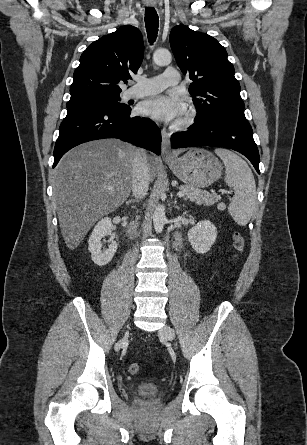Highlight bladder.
<instances>
[{
	"label": "bladder",
	"instance_id": "obj_1",
	"mask_svg": "<svg viewBox=\"0 0 307 445\" xmlns=\"http://www.w3.org/2000/svg\"><path fill=\"white\" fill-rule=\"evenodd\" d=\"M160 391L158 384L155 382H144L137 386V392L140 395L151 396Z\"/></svg>",
	"mask_w": 307,
	"mask_h": 445
}]
</instances>
